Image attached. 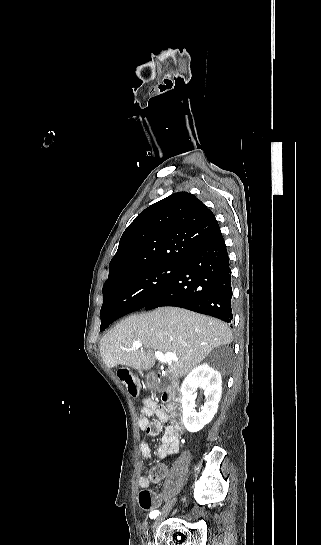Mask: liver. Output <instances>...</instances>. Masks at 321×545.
<instances>
[{"mask_svg":"<svg viewBox=\"0 0 321 545\" xmlns=\"http://www.w3.org/2000/svg\"><path fill=\"white\" fill-rule=\"evenodd\" d=\"M229 327L212 317L178 307H160L151 313L131 315L108 331L99 343L101 357L109 369L117 365L148 371L154 367V351L174 353L178 361L168 367L172 379L185 377L220 345H230ZM134 341L143 347L132 349Z\"/></svg>","mask_w":321,"mask_h":545,"instance_id":"6515ba94","label":"liver"}]
</instances>
